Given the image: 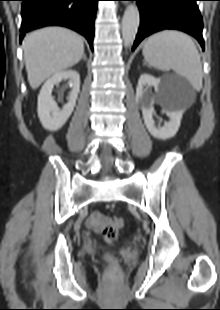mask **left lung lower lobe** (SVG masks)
Listing matches in <instances>:
<instances>
[{
  "label": "left lung lower lobe",
  "mask_w": 220,
  "mask_h": 310,
  "mask_svg": "<svg viewBox=\"0 0 220 310\" xmlns=\"http://www.w3.org/2000/svg\"><path fill=\"white\" fill-rule=\"evenodd\" d=\"M140 10V27L133 50L147 36L166 29L186 32L195 37L204 50L203 20L198 0H134Z\"/></svg>",
  "instance_id": "obj_1"
}]
</instances>
